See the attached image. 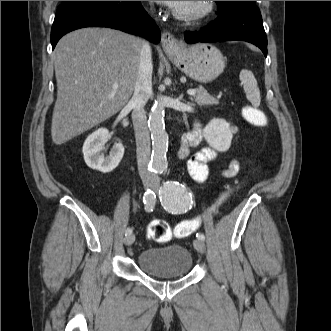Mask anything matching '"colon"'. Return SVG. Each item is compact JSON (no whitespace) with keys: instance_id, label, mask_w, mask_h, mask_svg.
<instances>
[{"instance_id":"obj_1","label":"colon","mask_w":331,"mask_h":331,"mask_svg":"<svg viewBox=\"0 0 331 331\" xmlns=\"http://www.w3.org/2000/svg\"><path fill=\"white\" fill-rule=\"evenodd\" d=\"M244 116L248 122L251 124L263 127L267 124V117L259 109L253 107H246L244 109ZM222 203V200L217 201L212 210H216ZM198 226V221L196 219H190L180 222L173 230L169 225L162 220H154L148 226V236L157 242H166L172 236L178 238H184L191 235Z\"/></svg>"}]
</instances>
